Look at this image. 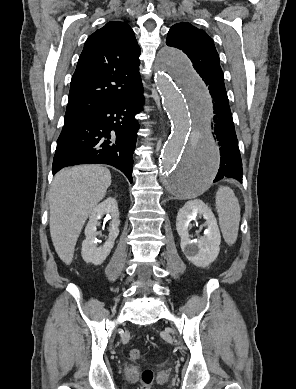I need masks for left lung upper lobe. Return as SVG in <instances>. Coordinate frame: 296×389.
Instances as JSON below:
<instances>
[{"instance_id": "1", "label": "left lung upper lobe", "mask_w": 296, "mask_h": 389, "mask_svg": "<svg viewBox=\"0 0 296 389\" xmlns=\"http://www.w3.org/2000/svg\"><path fill=\"white\" fill-rule=\"evenodd\" d=\"M166 43L182 50L201 77L205 75L214 77L223 73L213 40L205 31L190 23L181 22L173 25L168 32Z\"/></svg>"}]
</instances>
